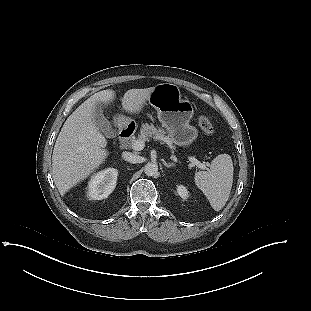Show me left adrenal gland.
Returning a JSON list of instances; mask_svg holds the SVG:
<instances>
[{
    "label": "left adrenal gland",
    "mask_w": 311,
    "mask_h": 311,
    "mask_svg": "<svg viewBox=\"0 0 311 311\" xmlns=\"http://www.w3.org/2000/svg\"><path fill=\"white\" fill-rule=\"evenodd\" d=\"M165 166L168 168V169H175V165L171 164V163H167L165 162Z\"/></svg>",
    "instance_id": "1"
}]
</instances>
